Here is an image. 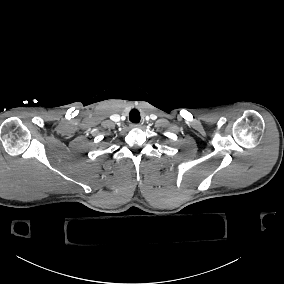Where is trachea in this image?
<instances>
[{"instance_id": "3493384b", "label": "trachea", "mask_w": 284, "mask_h": 284, "mask_svg": "<svg viewBox=\"0 0 284 284\" xmlns=\"http://www.w3.org/2000/svg\"><path fill=\"white\" fill-rule=\"evenodd\" d=\"M129 119L133 123H139L140 122V113H139V111L137 109H132L130 111V114H129Z\"/></svg>"}]
</instances>
